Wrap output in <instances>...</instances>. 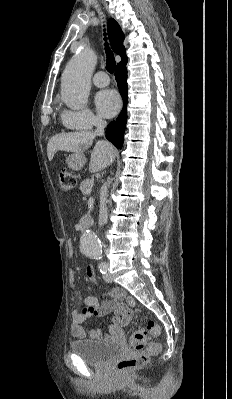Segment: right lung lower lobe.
Returning <instances> with one entry per match:
<instances>
[{
    "instance_id": "obj_1",
    "label": "right lung lower lobe",
    "mask_w": 232,
    "mask_h": 399,
    "mask_svg": "<svg viewBox=\"0 0 232 399\" xmlns=\"http://www.w3.org/2000/svg\"><path fill=\"white\" fill-rule=\"evenodd\" d=\"M127 59L120 62L115 70L118 88L123 99V109L116 121L111 122L106 129V138L117 148L123 145V136L127 121Z\"/></svg>"
}]
</instances>
